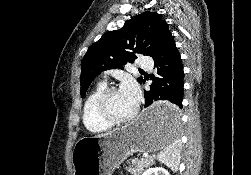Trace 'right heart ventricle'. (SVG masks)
<instances>
[{
    "label": "right heart ventricle",
    "mask_w": 251,
    "mask_h": 175,
    "mask_svg": "<svg viewBox=\"0 0 251 175\" xmlns=\"http://www.w3.org/2000/svg\"><path fill=\"white\" fill-rule=\"evenodd\" d=\"M107 87L105 82H98L87 95L82 109V120L85 128L94 134L111 129L112 125L104 121L97 113L96 102L99 95Z\"/></svg>",
    "instance_id": "1"
}]
</instances>
